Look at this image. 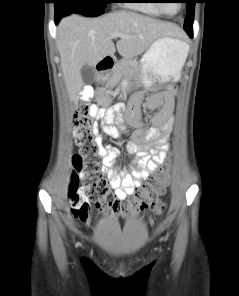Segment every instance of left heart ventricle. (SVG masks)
Masks as SVG:
<instances>
[{
  "mask_svg": "<svg viewBox=\"0 0 239 296\" xmlns=\"http://www.w3.org/2000/svg\"><path fill=\"white\" fill-rule=\"evenodd\" d=\"M162 4L169 13H175L179 7V3H173L169 1H165V3Z\"/></svg>",
  "mask_w": 239,
  "mask_h": 296,
  "instance_id": "1",
  "label": "left heart ventricle"
}]
</instances>
